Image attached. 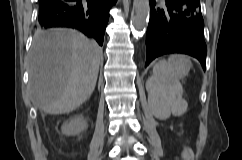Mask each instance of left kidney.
Here are the masks:
<instances>
[{"label":"left kidney","instance_id":"5707ae66","mask_svg":"<svg viewBox=\"0 0 242 160\" xmlns=\"http://www.w3.org/2000/svg\"><path fill=\"white\" fill-rule=\"evenodd\" d=\"M180 105V110H176L174 112L182 114L187 109V103L182 99H178V103ZM152 113L153 115L160 119L166 120L170 117L171 110L162 108L158 103L152 105Z\"/></svg>","mask_w":242,"mask_h":160}]
</instances>
